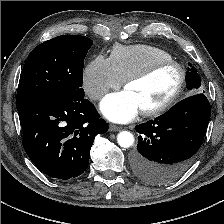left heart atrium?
<instances>
[{
  "label": "left heart atrium",
  "instance_id": "39dd6f15",
  "mask_svg": "<svg viewBox=\"0 0 224 224\" xmlns=\"http://www.w3.org/2000/svg\"><path fill=\"white\" fill-rule=\"evenodd\" d=\"M102 114L112 122L132 121L141 111L136 98L127 90L106 96L101 104Z\"/></svg>",
  "mask_w": 224,
  "mask_h": 224
}]
</instances>
